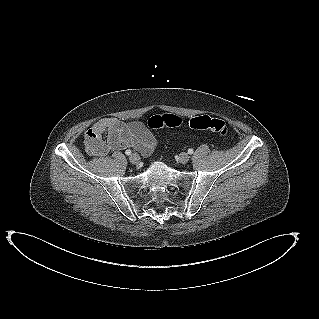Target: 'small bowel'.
<instances>
[{"label": "small bowel", "instance_id": "1", "mask_svg": "<svg viewBox=\"0 0 319 319\" xmlns=\"http://www.w3.org/2000/svg\"><path fill=\"white\" fill-rule=\"evenodd\" d=\"M157 145V138L142 122H124L115 117L99 119L84 139L85 150L92 157H105L110 152L129 148L149 156Z\"/></svg>", "mask_w": 319, "mask_h": 319}]
</instances>
